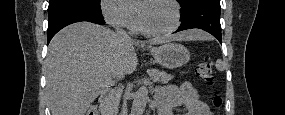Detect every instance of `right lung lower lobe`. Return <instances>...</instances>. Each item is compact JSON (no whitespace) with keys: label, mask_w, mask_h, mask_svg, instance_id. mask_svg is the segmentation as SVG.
<instances>
[{"label":"right lung lower lobe","mask_w":285,"mask_h":115,"mask_svg":"<svg viewBox=\"0 0 285 115\" xmlns=\"http://www.w3.org/2000/svg\"><path fill=\"white\" fill-rule=\"evenodd\" d=\"M80 21H90L100 25L105 24V21L102 17V13L79 9L61 11L56 14H53L52 16H49L48 43L50 42L52 37L63 27Z\"/></svg>","instance_id":"98d812e1"}]
</instances>
